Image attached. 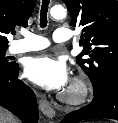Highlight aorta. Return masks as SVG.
Instances as JSON below:
<instances>
[{"label":"aorta","instance_id":"obj_1","mask_svg":"<svg viewBox=\"0 0 118 123\" xmlns=\"http://www.w3.org/2000/svg\"><path fill=\"white\" fill-rule=\"evenodd\" d=\"M50 14L54 19H63L67 15V10L63 6H53L50 10Z\"/></svg>","mask_w":118,"mask_h":123}]
</instances>
